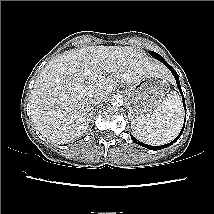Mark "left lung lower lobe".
I'll list each match as a JSON object with an SVG mask.
<instances>
[{
	"label": "left lung lower lobe",
	"instance_id": "obj_1",
	"mask_svg": "<svg viewBox=\"0 0 214 214\" xmlns=\"http://www.w3.org/2000/svg\"><path fill=\"white\" fill-rule=\"evenodd\" d=\"M162 63L165 64V65L167 66V68L171 71V73L174 75L175 80H176V83H177V87H178L180 93L182 94L184 108L186 109L185 101H184L183 93H182V90H181V86H180L178 74L176 73V71H175L164 59L162 60ZM184 125H185V121H184ZM183 129H184V127L182 128L180 134L176 137L175 140H173L172 142H170V143H168V144L161 145V146H149V145H147V144H144V143L138 141V140H137L136 138H134L133 136H131V138H132V140H133L135 143H137V144H139V145H141V146H143V147H145V148H148V149H150V150H155V151H156V150H158V149H164V148L170 146L172 143L176 142V141L180 138V136L182 135Z\"/></svg>",
	"mask_w": 214,
	"mask_h": 214
}]
</instances>
